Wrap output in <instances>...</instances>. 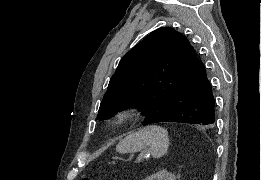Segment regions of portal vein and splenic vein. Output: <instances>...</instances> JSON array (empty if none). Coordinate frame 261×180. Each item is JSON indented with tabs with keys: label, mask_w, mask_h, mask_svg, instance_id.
I'll use <instances>...</instances> for the list:
<instances>
[{
	"label": "portal vein and splenic vein",
	"mask_w": 261,
	"mask_h": 180,
	"mask_svg": "<svg viewBox=\"0 0 261 180\" xmlns=\"http://www.w3.org/2000/svg\"><path fill=\"white\" fill-rule=\"evenodd\" d=\"M143 158H145V153H140V155L136 156L137 160H142Z\"/></svg>",
	"instance_id": "portal-vein-and-splenic-vein-1"
}]
</instances>
